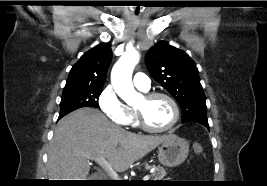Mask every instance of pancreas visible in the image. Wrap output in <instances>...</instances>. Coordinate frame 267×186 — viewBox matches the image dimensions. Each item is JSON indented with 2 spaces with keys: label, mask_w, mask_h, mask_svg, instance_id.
<instances>
[{
  "label": "pancreas",
  "mask_w": 267,
  "mask_h": 186,
  "mask_svg": "<svg viewBox=\"0 0 267 186\" xmlns=\"http://www.w3.org/2000/svg\"><path fill=\"white\" fill-rule=\"evenodd\" d=\"M151 168L154 169V172L150 175L151 180L153 181H160L167 175L166 170L161 166H157V167L155 165L146 166V169H151Z\"/></svg>",
  "instance_id": "pancreas-1"
}]
</instances>
